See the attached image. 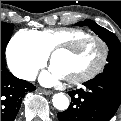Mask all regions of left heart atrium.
I'll list each match as a JSON object with an SVG mask.
<instances>
[{"label": "left heart atrium", "mask_w": 121, "mask_h": 121, "mask_svg": "<svg viewBox=\"0 0 121 121\" xmlns=\"http://www.w3.org/2000/svg\"><path fill=\"white\" fill-rule=\"evenodd\" d=\"M61 78L62 75L52 67L50 71H46L40 76V81L45 86H52L57 84Z\"/></svg>", "instance_id": "obj_1"}]
</instances>
